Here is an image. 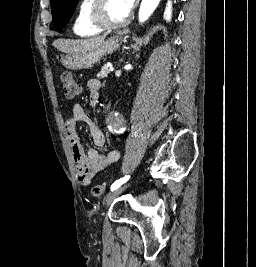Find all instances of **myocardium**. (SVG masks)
<instances>
[{"label": "myocardium", "instance_id": "myocardium-1", "mask_svg": "<svg viewBox=\"0 0 256 267\" xmlns=\"http://www.w3.org/2000/svg\"><path fill=\"white\" fill-rule=\"evenodd\" d=\"M109 1H112V0H94L93 8L90 13V19H91L92 24L96 28L102 31H107V32L113 31L120 27H124L131 21V19H129L126 25L124 26H112L108 24L106 19L104 18L103 13Z\"/></svg>", "mask_w": 256, "mask_h": 267}]
</instances>
